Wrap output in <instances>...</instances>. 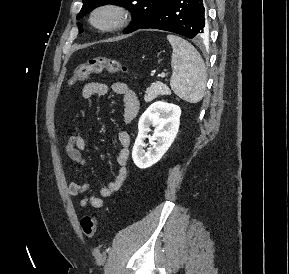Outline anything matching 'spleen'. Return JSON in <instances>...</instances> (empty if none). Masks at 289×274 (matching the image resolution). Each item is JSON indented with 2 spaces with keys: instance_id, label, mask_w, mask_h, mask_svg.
<instances>
[{
  "instance_id": "spleen-1",
  "label": "spleen",
  "mask_w": 289,
  "mask_h": 274,
  "mask_svg": "<svg viewBox=\"0 0 289 274\" xmlns=\"http://www.w3.org/2000/svg\"><path fill=\"white\" fill-rule=\"evenodd\" d=\"M167 39L173 49L171 89L181 99L197 103L203 98L205 91L207 74L204 61L185 39L176 35H168Z\"/></svg>"
}]
</instances>
